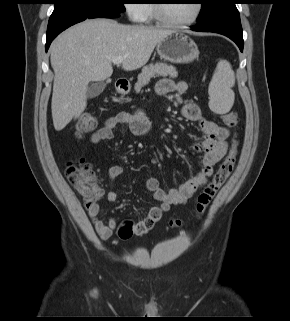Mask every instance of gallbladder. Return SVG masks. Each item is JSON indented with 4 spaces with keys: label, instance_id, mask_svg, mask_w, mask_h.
I'll list each match as a JSON object with an SVG mask.
<instances>
[{
    "label": "gallbladder",
    "instance_id": "gallbladder-1",
    "mask_svg": "<svg viewBox=\"0 0 290 321\" xmlns=\"http://www.w3.org/2000/svg\"><path fill=\"white\" fill-rule=\"evenodd\" d=\"M106 84L104 82L93 83L87 88V97L95 98L99 96L105 89Z\"/></svg>",
    "mask_w": 290,
    "mask_h": 321
}]
</instances>
